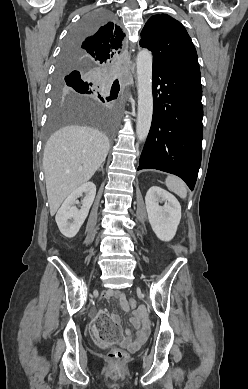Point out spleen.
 <instances>
[{
	"label": "spleen",
	"mask_w": 248,
	"mask_h": 389,
	"mask_svg": "<svg viewBox=\"0 0 248 389\" xmlns=\"http://www.w3.org/2000/svg\"><path fill=\"white\" fill-rule=\"evenodd\" d=\"M165 184L169 190L177 194L180 198L185 199L187 196V187L184 181L176 176H168Z\"/></svg>",
	"instance_id": "spleen-1"
}]
</instances>
